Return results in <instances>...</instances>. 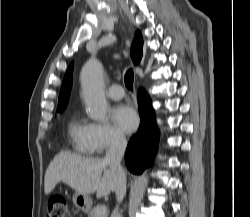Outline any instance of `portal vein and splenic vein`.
<instances>
[{
	"instance_id": "1",
	"label": "portal vein and splenic vein",
	"mask_w": 250,
	"mask_h": 217,
	"mask_svg": "<svg viewBox=\"0 0 250 217\" xmlns=\"http://www.w3.org/2000/svg\"><path fill=\"white\" fill-rule=\"evenodd\" d=\"M106 212H107V207L105 205H102L98 208L96 214L97 216H99L105 214Z\"/></svg>"
}]
</instances>
